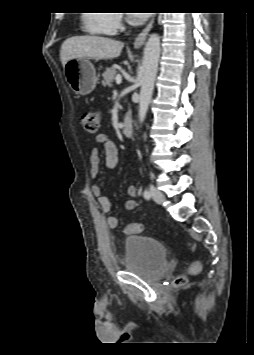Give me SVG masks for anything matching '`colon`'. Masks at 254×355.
<instances>
[{"mask_svg":"<svg viewBox=\"0 0 254 355\" xmlns=\"http://www.w3.org/2000/svg\"><path fill=\"white\" fill-rule=\"evenodd\" d=\"M82 125L85 131L89 134H96L99 130L100 119L96 112L89 111L82 116ZM144 231V225L141 223H130L125 227V232L128 235L138 234ZM201 270V264L197 261L190 264L188 274H197ZM187 278L185 275L178 276L175 279L176 286H182L186 283Z\"/></svg>","mask_w":254,"mask_h":355,"instance_id":"5ec220e1","label":"colon"}]
</instances>
